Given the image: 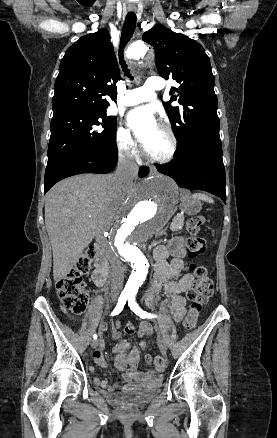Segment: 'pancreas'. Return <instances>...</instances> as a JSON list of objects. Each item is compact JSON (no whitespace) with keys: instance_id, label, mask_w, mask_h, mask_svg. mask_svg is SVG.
Instances as JSON below:
<instances>
[{"instance_id":"pancreas-1","label":"pancreas","mask_w":277,"mask_h":438,"mask_svg":"<svg viewBox=\"0 0 277 438\" xmlns=\"http://www.w3.org/2000/svg\"><path fill=\"white\" fill-rule=\"evenodd\" d=\"M186 221V216L184 214H173L172 215V224L169 226V231L171 233H178L180 231V227Z\"/></svg>"}]
</instances>
